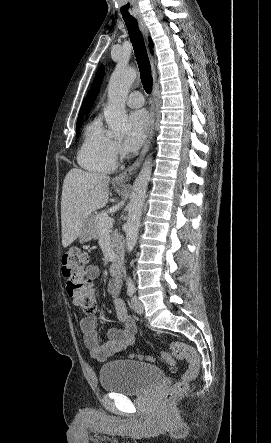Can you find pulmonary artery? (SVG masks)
Instances as JSON below:
<instances>
[{
    "instance_id": "1",
    "label": "pulmonary artery",
    "mask_w": 271,
    "mask_h": 443,
    "mask_svg": "<svg viewBox=\"0 0 271 443\" xmlns=\"http://www.w3.org/2000/svg\"><path fill=\"white\" fill-rule=\"evenodd\" d=\"M128 106L138 108L144 105V97L141 92L133 91L125 99Z\"/></svg>"
}]
</instances>
